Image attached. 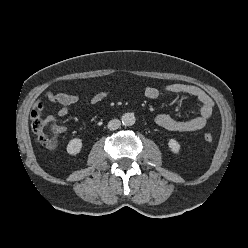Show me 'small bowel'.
<instances>
[{
  "instance_id": "obj_1",
  "label": "small bowel",
  "mask_w": 248,
  "mask_h": 248,
  "mask_svg": "<svg viewBox=\"0 0 248 248\" xmlns=\"http://www.w3.org/2000/svg\"><path fill=\"white\" fill-rule=\"evenodd\" d=\"M163 93L185 94L194 97L201 103L200 115L190 120L178 121L169 115L158 114L154 118V122L157 126L172 132H193L202 130L208 125L213 113L214 102L204 90L195 85L181 83L169 84L163 89L148 86L144 90V96L151 100L159 98ZM107 96V91H99L85 103L87 105H96L104 101ZM46 98L58 106L57 114L59 117L67 116L70 107L77 104L80 100L78 95L64 92H48ZM44 108L45 103L43 99L38 98L34 101L31 111V120L33 122L41 117Z\"/></svg>"
}]
</instances>
